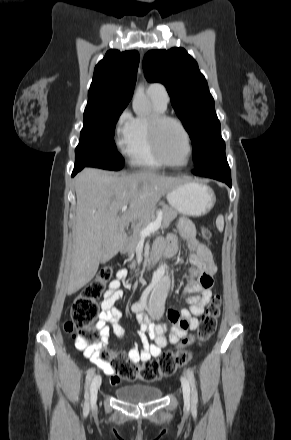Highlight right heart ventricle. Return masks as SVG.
<instances>
[{
  "instance_id": "obj_1",
  "label": "right heart ventricle",
  "mask_w": 291,
  "mask_h": 440,
  "mask_svg": "<svg viewBox=\"0 0 291 440\" xmlns=\"http://www.w3.org/2000/svg\"><path fill=\"white\" fill-rule=\"evenodd\" d=\"M150 97V96H149ZM153 113L164 114L166 106L161 105L150 97ZM148 117L137 116L133 118L132 131L124 149L130 165L142 168H161L164 165L156 158L152 150L148 128Z\"/></svg>"
}]
</instances>
